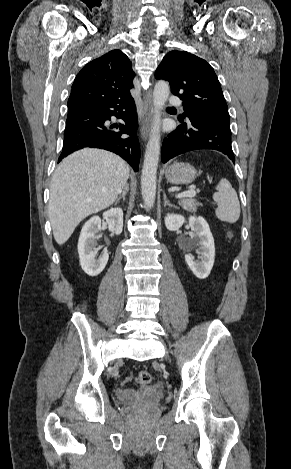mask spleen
Masks as SVG:
<instances>
[{
  "label": "spleen",
  "mask_w": 291,
  "mask_h": 469,
  "mask_svg": "<svg viewBox=\"0 0 291 469\" xmlns=\"http://www.w3.org/2000/svg\"><path fill=\"white\" fill-rule=\"evenodd\" d=\"M216 190L213 200L218 205L215 211L217 218L221 221L235 223L241 212L236 191L230 182L224 178L219 181Z\"/></svg>",
  "instance_id": "spleen-1"
}]
</instances>
